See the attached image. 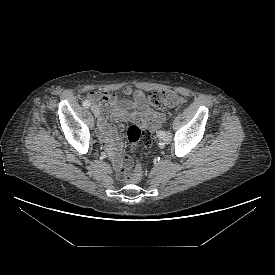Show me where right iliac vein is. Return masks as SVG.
<instances>
[{
    "label": "right iliac vein",
    "mask_w": 275,
    "mask_h": 275,
    "mask_svg": "<svg viewBox=\"0 0 275 275\" xmlns=\"http://www.w3.org/2000/svg\"><path fill=\"white\" fill-rule=\"evenodd\" d=\"M91 110L93 112V114L95 115V117H98L100 114V109L97 105H92L91 106Z\"/></svg>",
    "instance_id": "obj_1"
}]
</instances>
